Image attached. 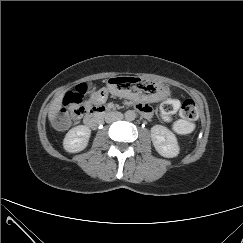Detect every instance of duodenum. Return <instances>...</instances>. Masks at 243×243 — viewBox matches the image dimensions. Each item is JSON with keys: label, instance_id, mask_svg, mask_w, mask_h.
<instances>
[{"label": "duodenum", "instance_id": "1", "mask_svg": "<svg viewBox=\"0 0 243 243\" xmlns=\"http://www.w3.org/2000/svg\"><path fill=\"white\" fill-rule=\"evenodd\" d=\"M110 113H113V110L105 106H96L92 108L87 115L85 116V124L90 128H97L102 120Z\"/></svg>", "mask_w": 243, "mask_h": 243}]
</instances>
